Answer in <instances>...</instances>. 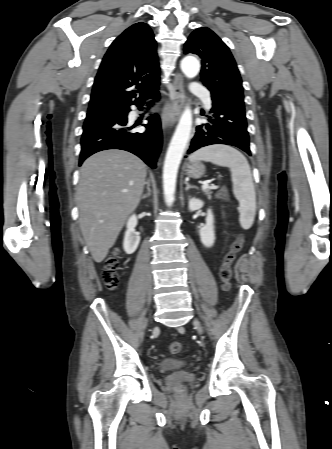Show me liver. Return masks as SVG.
Segmentation results:
<instances>
[{"label":"liver","instance_id":"6515ba94","mask_svg":"<svg viewBox=\"0 0 332 449\" xmlns=\"http://www.w3.org/2000/svg\"><path fill=\"white\" fill-rule=\"evenodd\" d=\"M145 178L143 161L122 150L98 152L81 166L77 188L79 222L95 262L105 259L126 219L137 208Z\"/></svg>","mask_w":332,"mask_h":449}]
</instances>
